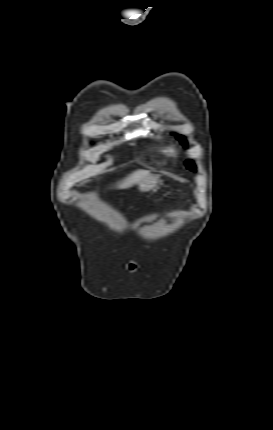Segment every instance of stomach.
<instances>
[{
    "label": "stomach",
    "mask_w": 273,
    "mask_h": 430,
    "mask_svg": "<svg viewBox=\"0 0 273 430\" xmlns=\"http://www.w3.org/2000/svg\"><path fill=\"white\" fill-rule=\"evenodd\" d=\"M158 184L157 175H149L139 183V189L141 192H148L153 190Z\"/></svg>",
    "instance_id": "obj_1"
}]
</instances>
